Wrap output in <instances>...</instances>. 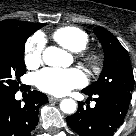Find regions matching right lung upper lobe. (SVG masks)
<instances>
[{"label": "right lung upper lobe", "mask_w": 136, "mask_h": 136, "mask_svg": "<svg viewBox=\"0 0 136 136\" xmlns=\"http://www.w3.org/2000/svg\"><path fill=\"white\" fill-rule=\"evenodd\" d=\"M41 24L42 23H29V22L17 21L11 19L3 20L0 22V33H7L14 28H25V29H31L36 31Z\"/></svg>", "instance_id": "right-lung-upper-lobe-1"}]
</instances>
